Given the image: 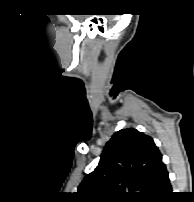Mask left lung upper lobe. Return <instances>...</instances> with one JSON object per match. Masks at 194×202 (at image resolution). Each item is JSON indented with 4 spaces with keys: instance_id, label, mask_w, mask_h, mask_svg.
Instances as JSON below:
<instances>
[{
    "instance_id": "left-lung-upper-lobe-1",
    "label": "left lung upper lobe",
    "mask_w": 194,
    "mask_h": 202,
    "mask_svg": "<svg viewBox=\"0 0 194 202\" xmlns=\"http://www.w3.org/2000/svg\"><path fill=\"white\" fill-rule=\"evenodd\" d=\"M165 168L153 139L136 129H122L107 142L98 166L78 187L86 202L149 200Z\"/></svg>"
}]
</instances>
